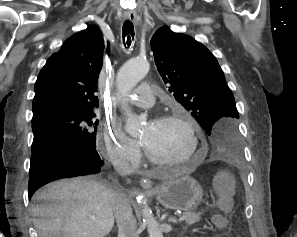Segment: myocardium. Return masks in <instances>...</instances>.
Returning <instances> with one entry per match:
<instances>
[{
	"instance_id": "myocardium-1",
	"label": "myocardium",
	"mask_w": 297,
	"mask_h": 237,
	"mask_svg": "<svg viewBox=\"0 0 297 237\" xmlns=\"http://www.w3.org/2000/svg\"><path fill=\"white\" fill-rule=\"evenodd\" d=\"M157 122H164V123H178L182 125L190 138L191 149L190 152L183 158L177 160H162L154 156L145 146L144 152L145 156L149 162L157 166H172V165H180L192 160L199 151V138L197 134L196 127L194 123L188 118L186 115L182 113L178 114H167L159 117Z\"/></svg>"
}]
</instances>
